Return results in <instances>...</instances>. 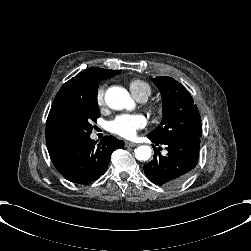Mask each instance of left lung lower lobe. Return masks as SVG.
<instances>
[{
	"label": "left lung lower lobe",
	"mask_w": 251,
	"mask_h": 251,
	"mask_svg": "<svg viewBox=\"0 0 251 251\" xmlns=\"http://www.w3.org/2000/svg\"><path fill=\"white\" fill-rule=\"evenodd\" d=\"M148 138L157 146L167 145L168 153L162 156L155 149L153 160L144 165L147 178L156 185L167 187L183 182L197 164L200 137H181L169 141H158L150 135Z\"/></svg>",
	"instance_id": "left-lung-lower-lobe-1"
}]
</instances>
